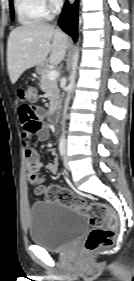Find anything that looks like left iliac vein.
I'll return each instance as SVG.
<instances>
[{"instance_id": "left-iliac-vein-1", "label": "left iliac vein", "mask_w": 134, "mask_h": 281, "mask_svg": "<svg viewBox=\"0 0 134 281\" xmlns=\"http://www.w3.org/2000/svg\"><path fill=\"white\" fill-rule=\"evenodd\" d=\"M64 150H65V155H64V166H65L66 169H68L69 166H68V159H67V155H66V151H67V145H66V144L64 145Z\"/></svg>"}]
</instances>
